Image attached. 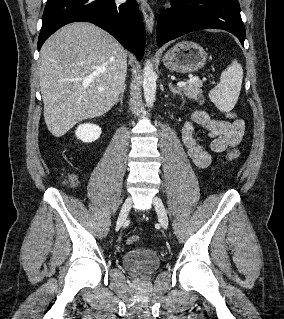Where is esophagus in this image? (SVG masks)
<instances>
[{"mask_svg": "<svg viewBox=\"0 0 284 319\" xmlns=\"http://www.w3.org/2000/svg\"><path fill=\"white\" fill-rule=\"evenodd\" d=\"M141 12L144 17L146 28L149 33L152 32L154 26V13L149 3L146 0H143L140 5Z\"/></svg>", "mask_w": 284, "mask_h": 319, "instance_id": "obj_1", "label": "esophagus"}]
</instances>
